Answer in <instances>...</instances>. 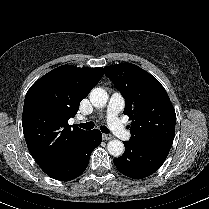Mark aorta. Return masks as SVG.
I'll use <instances>...</instances> for the list:
<instances>
[{"label":"aorta","mask_w":209,"mask_h":209,"mask_svg":"<svg viewBox=\"0 0 209 209\" xmlns=\"http://www.w3.org/2000/svg\"><path fill=\"white\" fill-rule=\"evenodd\" d=\"M108 100L107 91L103 88H94L90 92V102L96 108H102L106 105ZM108 152L114 156L119 157L124 153L125 147L124 144L117 139L111 140L107 144Z\"/></svg>","instance_id":"762f6f07"}]
</instances>
